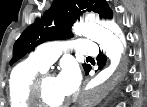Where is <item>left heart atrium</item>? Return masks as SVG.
<instances>
[{
	"label": "left heart atrium",
	"mask_w": 147,
	"mask_h": 107,
	"mask_svg": "<svg viewBox=\"0 0 147 107\" xmlns=\"http://www.w3.org/2000/svg\"><path fill=\"white\" fill-rule=\"evenodd\" d=\"M60 92L68 97L72 95L79 86L80 74L76 67L66 66L56 77Z\"/></svg>",
	"instance_id": "39dd6f15"
}]
</instances>
